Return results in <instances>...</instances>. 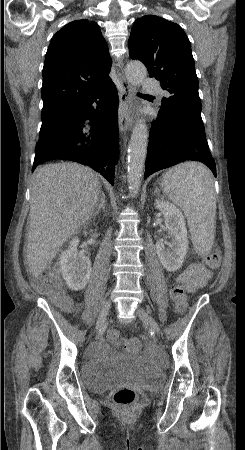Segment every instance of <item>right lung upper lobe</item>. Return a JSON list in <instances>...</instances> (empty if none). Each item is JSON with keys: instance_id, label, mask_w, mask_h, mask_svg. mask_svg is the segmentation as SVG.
I'll return each instance as SVG.
<instances>
[{"instance_id": "right-lung-upper-lobe-1", "label": "right lung upper lobe", "mask_w": 245, "mask_h": 450, "mask_svg": "<svg viewBox=\"0 0 245 450\" xmlns=\"http://www.w3.org/2000/svg\"><path fill=\"white\" fill-rule=\"evenodd\" d=\"M111 58L96 22L75 20L59 30L43 67L42 112L59 111L109 80Z\"/></svg>"}]
</instances>
